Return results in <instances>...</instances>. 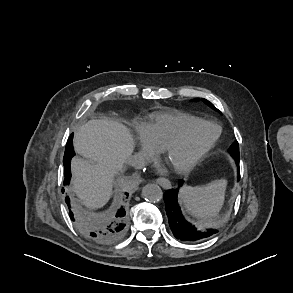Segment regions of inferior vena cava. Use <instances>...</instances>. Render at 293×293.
I'll return each mask as SVG.
<instances>
[{
	"mask_svg": "<svg viewBox=\"0 0 293 293\" xmlns=\"http://www.w3.org/2000/svg\"><path fill=\"white\" fill-rule=\"evenodd\" d=\"M128 164L135 169H142L146 165V159L141 154H135L128 158Z\"/></svg>",
	"mask_w": 293,
	"mask_h": 293,
	"instance_id": "602c4592",
	"label": "inferior vena cava"
}]
</instances>
